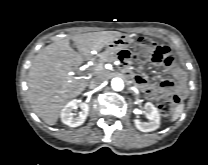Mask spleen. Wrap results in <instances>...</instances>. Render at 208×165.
Returning a JSON list of instances; mask_svg holds the SVG:
<instances>
[{"label": "spleen", "mask_w": 208, "mask_h": 165, "mask_svg": "<svg viewBox=\"0 0 208 165\" xmlns=\"http://www.w3.org/2000/svg\"><path fill=\"white\" fill-rule=\"evenodd\" d=\"M183 110H184V104L183 103L178 104L175 108V111H174L172 117H171V121L172 122L176 121L180 117V115L182 114Z\"/></svg>", "instance_id": "3e777b00"}]
</instances>
